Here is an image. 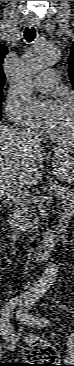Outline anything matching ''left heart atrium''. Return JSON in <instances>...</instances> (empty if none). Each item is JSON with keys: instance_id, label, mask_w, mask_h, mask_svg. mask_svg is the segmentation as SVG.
Listing matches in <instances>:
<instances>
[{"instance_id": "left-heart-atrium-1", "label": "left heart atrium", "mask_w": 74, "mask_h": 366, "mask_svg": "<svg viewBox=\"0 0 74 366\" xmlns=\"http://www.w3.org/2000/svg\"><path fill=\"white\" fill-rule=\"evenodd\" d=\"M60 110V105L50 102L45 107H37L36 110L31 113L30 120L38 128L50 131L59 116Z\"/></svg>"}]
</instances>
